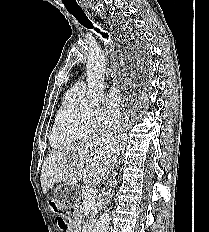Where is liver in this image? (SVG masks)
I'll return each mask as SVG.
<instances>
[{"mask_svg":"<svg viewBox=\"0 0 209 232\" xmlns=\"http://www.w3.org/2000/svg\"><path fill=\"white\" fill-rule=\"evenodd\" d=\"M117 143L104 137L62 147L50 153L42 166L41 187L44 194L55 184L76 185L82 178L98 184L108 166L115 163Z\"/></svg>","mask_w":209,"mask_h":232,"instance_id":"obj_1","label":"liver"}]
</instances>
